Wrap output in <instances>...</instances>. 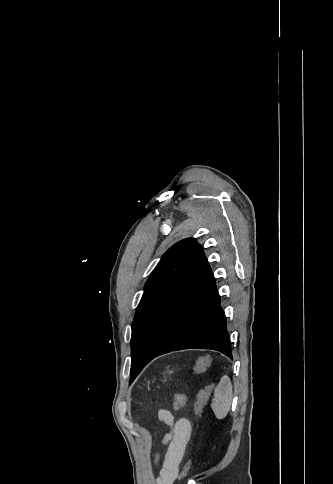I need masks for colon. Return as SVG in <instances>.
I'll use <instances>...</instances> for the list:
<instances>
[{
  "label": "colon",
  "instance_id": "5ec220e1",
  "mask_svg": "<svg viewBox=\"0 0 333 484\" xmlns=\"http://www.w3.org/2000/svg\"><path fill=\"white\" fill-rule=\"evenodd\" d=\"M209 363H210V359L208 357H204L200 359L193 368L194 373L199 374L204 372L209 366ZM213 388H214V384H210L199 391L195 401V413L197 417L200 416ZM186 401H187V396L185 393L179 392L175 394L174 400H173V408L176 410L183 408L186 404ZM190 467H191V462H188L181 470L179 474V479H183L187 475V473L190 470Z\"/></svg>",
  "mask_w": 333,
  "mask_h": 484
}]
</instances>
